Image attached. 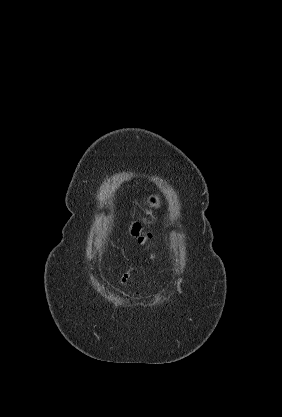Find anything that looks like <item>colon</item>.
I'll use <instances>...</instances> for the list:
<instances>
[{
  "label": "colon",
  "instance_id": "colon-1",
  "mask_svg": "<svg viewBox=\"0 0 282 417\" xmlns=\"http://www.w3.org/2000/svg\"><path fill=\"white\" fill-rule=\"evenodd\" d=\"M130 233L131 235L136 238L142 244H148L152 247L153 253L152 257H157V249L156 246L153 244L152 235L148 232L143 230L139 223L134 222L130 224Z\"/></svg>",
  "mask_w": 282,
  "mask_h": 417
}]
</instances>
